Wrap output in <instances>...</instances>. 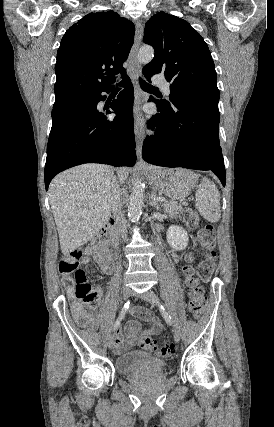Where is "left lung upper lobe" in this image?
I'll list each match as a JSON object with an SVG mask.
<instances>
[{"label":"left lung upper lobe","instance_id":"left-lung-upper-lobe-1","mask_svg":"<svg viewBox=\"0 0 274 427\" xmlns=\"http://www.w3.org/2000/svg\"><path fill=\"white\" fill-rule=\"evenodd\" d=\"M144 42L155 56L143 68L144 75L164 73L170 98L192 97L218 103L217 74L204 39L176 16L159 12L145 24Z\"/></svg>","mask_w":274,"mask_h":427}]
</instances>
